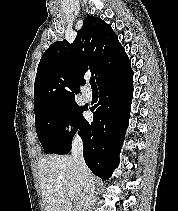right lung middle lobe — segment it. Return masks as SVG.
I'll list each match as a JSON object with an SVG mask.
<instances>
[{"mask_svg": "<svg viewBox=\"0 0 178 211\" xmlns=\"http://www.w3.org/2000/svg\"><path fill=\"white\" fill-rule=\"evenodd\" d=\"M84 110L73 100L50 105L35 114L37 135L46 153H54L71 141L85 121L81 114ZM69 123L74 126L70 134L65 132Z\"/></svg>", "mask_w": 178, "mask_h": 211, "instance_id": "dd1d6c3e", "label": "right lung middle lobe"}]
</instances>
